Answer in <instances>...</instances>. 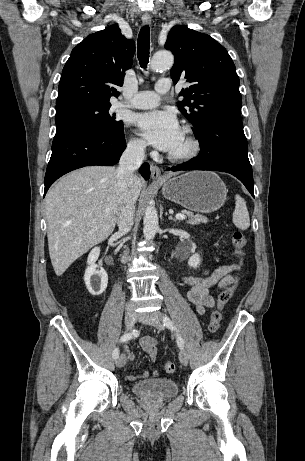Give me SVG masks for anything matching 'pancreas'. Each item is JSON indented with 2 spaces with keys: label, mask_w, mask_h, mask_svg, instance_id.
Returning <instances> with one entry per match:
<instances>
[{
  "label": "pancreas",
  "mask_w": 305,
  "mask_h": 461,
  "mask_svg": "<svg viewBox=\"0 0 305 461\" xmlns=\"http://www.w3.org/2000/svg\"><path fill=\"white\" fill-rule=\"evenodd\" d=\"M182 214L189 217V220L187 221V223L191 224V225H197V224H200V223H207V221H208V219L205 216H202V215H199V214L194 215L190 211L183 210Z\"/></svg>",
  "instance_id": "pancreas-1"
}]
</instances>
